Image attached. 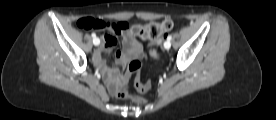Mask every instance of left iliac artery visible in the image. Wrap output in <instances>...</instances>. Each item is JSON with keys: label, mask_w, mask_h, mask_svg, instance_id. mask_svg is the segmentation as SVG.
I'll return each mask as SVG.
<instances>
[{"label": "left iliac artery", "mask_w": 276, "mask_h": 120, "mask_svg": "<svg viewBox=\"0 0 276 120\" xmlns=\"http://www.w3.org/2000/svg\"><path fill=\"white\" fill-rule=\"evenodd\" d=\"M172 39V36L171 35H169L168 37H167V41H169L170 42V40ZM164 46L166 47V45L164 44Z\"/></svg>", "instance_id": "1"}]
</instances>
